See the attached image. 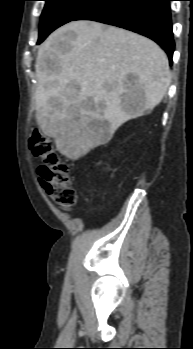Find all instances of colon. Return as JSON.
I'll return each mask as SVG.
<instances>
[{
  "label": "colon",
  "instance_id": "colon-1",
  "mask_svg": "<svg viewBox=\"0 0 193 349\" xmlns=\"http://www.w3.org/2000/svg\"><path fill=\"white\" fill-rule=\"evenodd\" d=\"M29 148L34 156L41 160L38 175L48 195L60 207L72 208L76 203V192L72 185L70 168L59 157L52 139L33 127Z\"/></svg>",
  "mask_w": 193,
  "mask_h": 349
}]
</instances>
